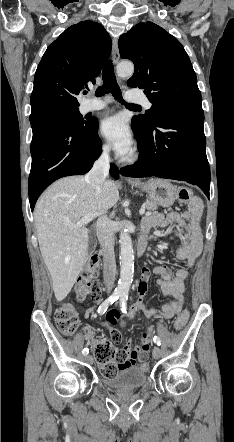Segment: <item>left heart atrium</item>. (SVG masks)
Listing matches in <instances>:
<instances>
[{"label":"left heart atrium","mask_w":234,"mask_h":442,"mask_svg":"<svg viewBox=\"0 0 234 442\" xmlns=\"http://www.w3.org/2000/svg\"><path fill=\"white\" fill-rule=\"evenodd\" d=\"M100 132L120 156L127 155L132 149V134L126 119L112 115L103 119Z\"/></svg>","instance_id":"obj_1"}]
</instances>
